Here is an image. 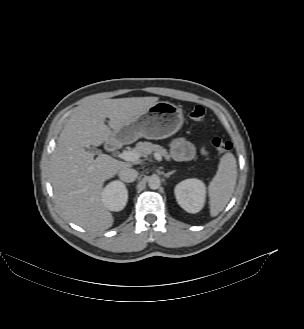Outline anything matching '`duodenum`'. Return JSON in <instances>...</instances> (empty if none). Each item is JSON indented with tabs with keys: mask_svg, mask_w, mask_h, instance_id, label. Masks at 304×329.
Wrapping results in <instances>:
<instances>
[{
	"mask_svg": "<svg viewBox=\"0 0 304 329\" xmlns=\"http://www.w3.org/2000/svg\"><path fill=\"white\" fill-rule=\"evenodd\" d=\"M118 150V147L113 145V144H108L107 145V151L108 152H116Z\"/></svg>",
	"mask_w": 304,
	"mask_h": 329,
	"instance_id": "obj_1",
	"label": "duodenum"
}]
</instances>
